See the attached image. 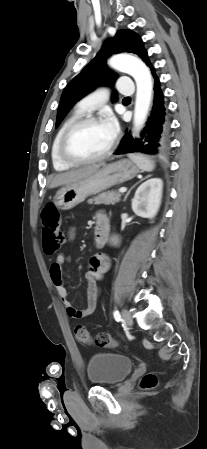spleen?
<instances>
[{
	"label": "spleen",
	"mask_w": 207,
	"mask_h": 449,
	"mask_svg": "<svg viewBox=\"0 0 207 449\" xmlns=\"http://www.w3.org/2000/svg\"><path fill=\"white\" fill-rule=\"evenodd\" d=\"M128 157L141 169L142 171H152L155 167L153 161L148 157L140 154H129Z\"/></svg>",
	"instance_id": "obj_1"
}]
</instances>
